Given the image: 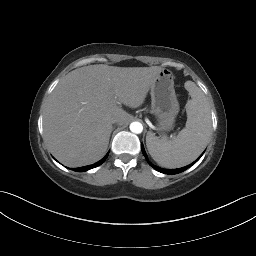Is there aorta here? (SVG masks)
<instances>
[{"mask_svg": "<svg viewBox=\"0 0 256 256\" xmlns=\"http://www.w3.org/2000/svg\"><path fill=\"white\" fill-rule=\"evenodd\" d=\"M130 130L133 133L140 134L143 131V126L140 122H132L130 124Z\"/></svg>", "mask_w": 256, "mask_h": 256, "instance_id": "1", "label": "aorta"}]
</instances>
